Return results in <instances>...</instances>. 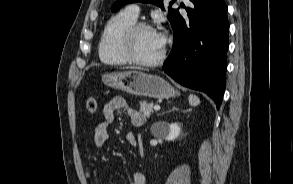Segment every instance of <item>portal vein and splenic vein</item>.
I'll return each mask as SVG.
<instances>
[{"mask_svg": "<svg viewBox=\"0 0 293 184\" xmlns=\"http://www.w3.org/2000/svg\"><path fill=\"white\" fill-rule=\"evenodd\" d=\"M154 110H155V111H159V110H160V106H159V105H155V106H154Z\"/></svg>", "mask_w": 293, "mask_h": 184, "instance_id": "1", "label": "portal vein and splenic vein"}]
</instances>
